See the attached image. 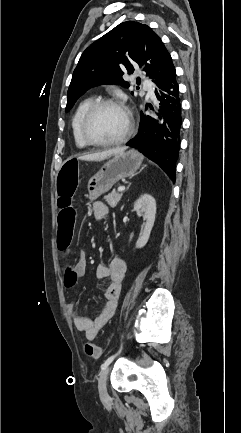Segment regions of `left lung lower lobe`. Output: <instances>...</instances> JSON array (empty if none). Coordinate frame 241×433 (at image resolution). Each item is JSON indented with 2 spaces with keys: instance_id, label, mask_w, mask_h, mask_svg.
<instances>
[{
  "instance_id": "0a47b994",
  "label": "left lung lower lobe",
  "mask_w": 241,
  "mask_h": 433,
  "mask_svg": "<svg viewBox=\"0 0 241 433\" xmlns=\"http://www.w3.org/2000/svg\"><path fill=\"white\" fill-rule=\"evenodd\" d=\"M154 93L158 104L155 108L150 105L153 115L140 113L138 134L126 145L138 149L175 181L176 161L180 149L182 108L173 63L156 83Z\"/></svg>"
}]
</instances>
